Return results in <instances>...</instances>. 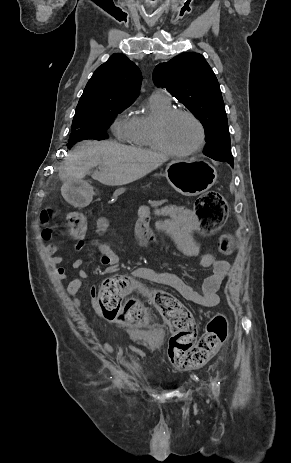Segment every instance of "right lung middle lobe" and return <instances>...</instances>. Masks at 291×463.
Returning <instances> with one entry per match:
<instances>
[{
	"label": "right lung middle lobe",
	"mask_w": 291,
	"mask_h": 463,
	"mask_svg": "<svg viewBox=\"0 0 291 463\" xmlns=\"http://www.w3.org/2000/svg\"><path fill=\"white\" fill-rule=\"evenodd\" d=\"M131 103L106 102L93 111L75 114L72 122V132L68 140L71 148L82 140H103L108 138L107 130L114 118Z\"/></svg>",
	"instance_id": "right-lung-middle-lobe-1"
}]
</instances>
